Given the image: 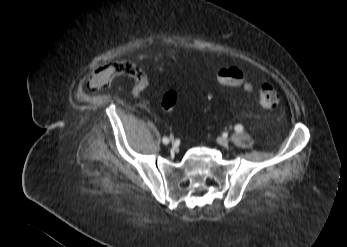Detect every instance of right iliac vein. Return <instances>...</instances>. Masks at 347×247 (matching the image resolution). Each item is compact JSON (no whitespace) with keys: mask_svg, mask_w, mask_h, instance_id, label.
<instances>
[{"mask_svg":"<svg viewBox=\"0 0 347 247\" xmlns=\"http://www.w3.org/2000/svg\"><path fill=\"white\" fill-rule=\"evenodd\" d=\"M171 141H172V142L174 141V138H173V137L171 138Z\"/></svg>","mask_w":347,"mask_h":247,"instance_id":"obj_1","label":"right iliac vein"}]
</instances>
